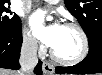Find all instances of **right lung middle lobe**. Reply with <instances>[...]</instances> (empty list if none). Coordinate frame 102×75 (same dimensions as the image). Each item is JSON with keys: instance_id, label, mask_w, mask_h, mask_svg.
<instances>
[{"instance_id": "obj_1", "label": "right lung middle lobe", "mask_w": 102, "mask_h": 75, "mask_svg": "<svg viewBox=\"0 0 102 75\" xmlns=\"http://www.w3.org/2000/svg\"><path fill=\"white\" fill-rule=\"evenodd\" d=\"M5 4H9L10 8V1H0V30H16L21 27V20L19 17L14 14L11 10H9Z\"/></svg>"}]
</instances>
